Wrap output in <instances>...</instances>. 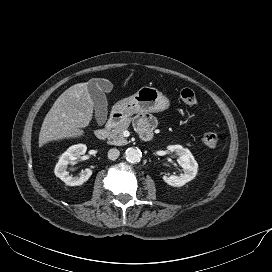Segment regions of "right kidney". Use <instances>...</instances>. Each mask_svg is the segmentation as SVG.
<instances>
[{"label":"right kidney","instance_id":"right-kidney-1","mask_svg":"<svg viewBox=\"0 0 272 272\" xmlns=\"http://www.w3.org/2000/svg\"><path fill=\"white\" fill-rule=\"evenodd\" d=\"M87 150L86 145L77 144L73 145L64 152L59 158L58 163L55 166V175L60 178L66 185L79 186L86 182L92 175L91 169H85L80 176H71L67 172L68 163L80 158L81 155L85 154Z\"/></svg>","mask_w":272,"mask_h":272}]
</instances>
